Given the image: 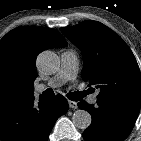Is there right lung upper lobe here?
Here are the masks:
<instances>
[{
	"mask_svg": "<svg viewBox=\"0 0 141 141\" xmlns=\"http://www.w3.org/2000/svg\"><path fill=\"white\" fill-rule=\"evenodd\" d=\"M67 46L55 29L19 27L0 40V106L33 96L37 55L50 48Z\"/></svg>",
	"mask_w": 141,
	"mask_h": 141,
	"instance_id": "obj_1",
	"label": "right lung upper lobe"
}]
</instances>
